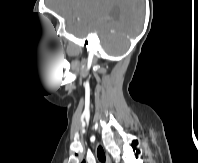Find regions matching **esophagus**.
Segmentation results:
<instances>
[{"label": "esophagus", "instance_id": "1", "mask_svg": "<svg viewBox=\"0 0 198 163\" xmlns=\"http://www.w3.org/2000/svg\"><path fill=\"white\" fill-rule=\"evenodd\" d=\"M106 163H112L110 156L106 153Z\"/></svg>", "mask_w": 198, "mask_h": 163}]
</instances>
